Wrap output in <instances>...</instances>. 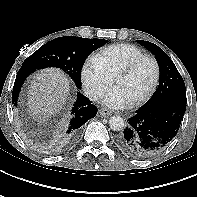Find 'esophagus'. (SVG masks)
<instances>
[{"label":"esophagus","mask_w":197,"mask_h":197,"mask_svg":"<svg viewBox=\"0 0 197 197\" xmlns=\"http://www.w3.org/2000/svg\"><path fill=\"white\" fill-rule=\"evenodd\" d=\"M99 113L103 117H109L112 115L113 112L108 109H101Z\"/></svg>","instance_id":"esophagus-1"}]
</instances>
